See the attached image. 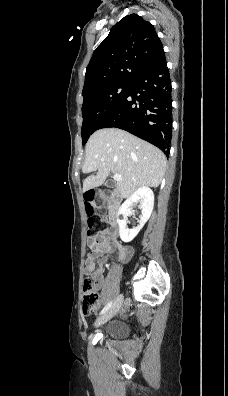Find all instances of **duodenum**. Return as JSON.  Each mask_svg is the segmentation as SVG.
Segmentation results:
<instances>
[{
	"label": "duodenum",
	"mask_w": 228,
	"mask_h": 396,
	"mask_svg": "<svg viewBox=\"0 0 228 396\" xmlns=\"http://www.w3.org/2000/svg\"><path fill=\"white\" fill-rule=\"evenodd\" d=\"M121 202V197L118 194H115V196L112 198V203L109 210V219L113 227L118 225Z\"/></svg>",
	"instance_id": "1"
}]
</instances>
